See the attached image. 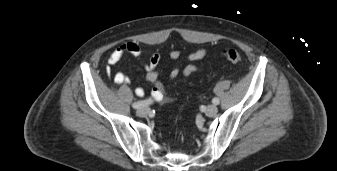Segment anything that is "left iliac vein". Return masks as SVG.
<instances>
[{
	"mask_svg": "<svg viewBox=\"0 0 337 171\" xmlns=\"http://www.w3.org/2000/svg\"><path fill=\"white\" fill-rule=\"evenodd\" d=\"M217 107L215 105H209L205 109V114L209 117H213L217 114Z\"/></svg>",
	"mask_w": 337,
	"mask_h": 171,
	"instance_id": "obj_1",
	"label": "left iliac vein"
}]
</instances>
